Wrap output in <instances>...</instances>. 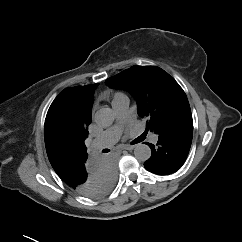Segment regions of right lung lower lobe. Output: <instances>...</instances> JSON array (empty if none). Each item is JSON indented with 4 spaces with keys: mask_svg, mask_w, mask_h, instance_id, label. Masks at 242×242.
I'll return each mask as SVG.
<instances>
[{
    "mask_svg": "<svg viewBox=\"0 0 242 242\" xmlns=\"http://www.w3.org/2000/svg\"><path fill=\"white\" fill-rule=\"evenodd\" d=\"M60 178L80 194L99 198L108 194L116 182V162L112 156L88 157L87 154Z\"/></svg>",
    "mask_w": 242,
    "mask_h": 242,
    "instance_id": "obj_1",
    "label": "right lung lower lobe"
}]
</instances>
